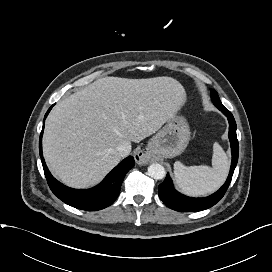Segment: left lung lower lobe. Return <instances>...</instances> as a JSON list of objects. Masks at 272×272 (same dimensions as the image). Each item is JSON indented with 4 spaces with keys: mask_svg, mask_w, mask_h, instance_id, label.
Returning a JSON list of instances; mask_svg holds the SVG:
<instances>
[{
    "mask_svg": "<svg viewBox=\"0 0 272 272\" xmlns=\"http://www.w3.org/2000/svg\"><path fill=\"white\" fill-rule=\"evenodd\" d=\"M212 101L214 105L223 114H225L229 121V139L232 151V162L228 178L224 185L214 194L205 198H191L177 192L174 189L169 174H167L164 182L159 185V197L169 208L173 210L181 212H195L208 209L221 200L231 182L239 153L238 140L236 136V122L232 113L223 106L220 100L212 99Z\"/></svg>",
    "mask_w": 272,
    "mask_h": 272,
    "instance_id": "left-lung-lower-lobe-1",
    "label": "left lung lower lobe"
}]
</instances>
